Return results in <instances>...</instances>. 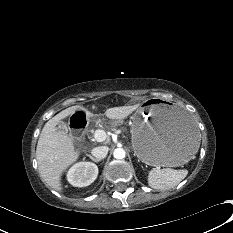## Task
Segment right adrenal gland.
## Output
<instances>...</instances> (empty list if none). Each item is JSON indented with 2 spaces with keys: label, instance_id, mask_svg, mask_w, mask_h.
<instances>
[{
  "label": "right adrenal gland",
  "instance_id": "right-adrenal-gland-1",
  "mask_svg": "<svg viewBox=\"0 0 233 233\" xmlns=\"http://www.w3.org/2000/svg\"><path fill=\"white\" fill-rule=\"evenodd\" d=\"M92 161H94V162H100L101 161V159H97V158H94L93 156H91V155H87Z\"/></svg>",
  "mask_w": 233,
  "mask_h": 233
}]
</instances>
